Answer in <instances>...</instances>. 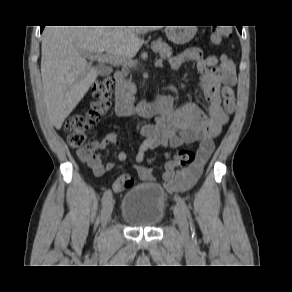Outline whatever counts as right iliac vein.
<instances>
[{"mask_svg":"<svg viewBox=\"0 0 292 292\" xmlns=\"http://www.w3.org/2000/svg\"><path fill=\"white\" fill-rule=\"evenodd\" d=\"M114 207V199L110 198L103 206L102 212H101V220L102 224L105 225L107 221L109 220L111 213L113 211Z\"/></svg>","mask_w":292,"mask_h":292,"instance_id":"right-iliac-vein-1","label":"right iliac vein"}]
</instances>
